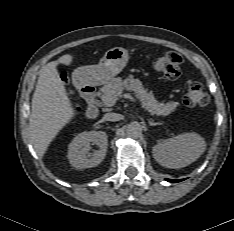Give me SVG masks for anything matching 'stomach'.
<instances>
[{
  "label": "stomach",
  "instance_id": "1",
  "mask_svg": "<svg viewBox=\"0 0 234 231\" xmlns=\"http://www.w3.org/2000/svg\"><path fill=\"white\" fill-rule=\"evenodd\" d=\"M128 60V50L114 47L104 54L99 64L77 68L73 78L81 84L102 85L119 74Z\"/></svg>",
  "mask_w": 234,
  "mask_h": 231
}]
</instances>
